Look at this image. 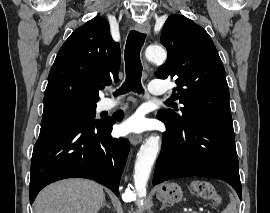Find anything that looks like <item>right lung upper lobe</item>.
<instances>
[{
  "instance_id": "1",
  "label": "right lung upper lobe",
  "mask_w": 270,
  "mask_h": 213,
  "mask_svg": "<svg viewBox=\"0 0 270 213\" xmlns=\"http://www.w3.org/2000/svg\"><path fill=\"white\" fill-rule=\"evenodd\" d=\"M119 43L109 22L96 16L77 28L61 46L49 72L44 106L75 100L97 103L102 84L118 82Z\"/></svg>"
}]
</instances>
